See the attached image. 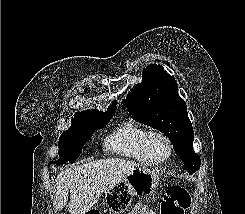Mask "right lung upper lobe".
<instances>
[{
  "instance_id": "cb5924a9",
  "label": "right lung upper lobe",
  "mask_w": 245,
  "mask_h": 214,
  "mask_svg": "<svg viewBox=\"0 0 245 214\" xmlns=\"http://www.w3.org/2000/svg\"><path fill=\"white\" fill-rule=\"evenodd\" d=\"M116 101H113L112 104L109 106L108 110L103 113V112H100L98 110H95V109H92V110H85V111H82V112H78L75 114V117L77 116H82V115H91V114H110V113H115L116 111Z\"/></svg>"
}]
</instances>
